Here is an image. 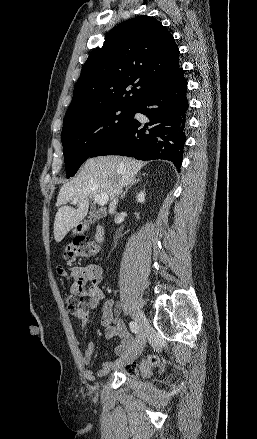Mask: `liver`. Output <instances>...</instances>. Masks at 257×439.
Returning <instances> with one entry per match:
<instances>
[{
  "instance_id": "obj_1",
  "label": "liver",
  "mask_w": 257,
  "mask_h": 439,
  "mask_svg": "<svg viewBox=\"0 0 257 439\" xmlns=\"http://www.w3.org/2000/svg\"><path fill=\"white\" fill-rule=\"evenodd\" d=\"M145 165L135 159L102 156L88 159L77 177L65 183L58 194L59 207L54 220V238L60 242L87 215L89 198L106 193L110 200L129 184ZM77 199V208L66 205Z\"/></svg>"
}]
</instances>
